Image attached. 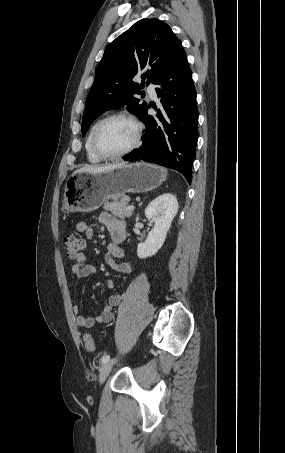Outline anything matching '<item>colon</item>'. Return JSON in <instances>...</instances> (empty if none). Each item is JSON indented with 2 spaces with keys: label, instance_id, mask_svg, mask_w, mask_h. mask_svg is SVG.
I'll return each instance as SVG.
<instances>
[{
  "label": "colon",
  "instance_id": "1",
  "mask_svg": "<svg viewBox=\"0 0 285 453\" xmlns=\"http://www.w3.org/2000/svg\"><path fill=\"white\" fill-rule=\"evenodd\" d=\"M63 244L67 256L71 259H76L84 249V241L75 234H67L63 239ZM84 347L87 351L95 350V340L90 334H85L83 337Z\"/></svg>",
  "mask_w": 285,
  "mask_h": 453
}]
</instances>
